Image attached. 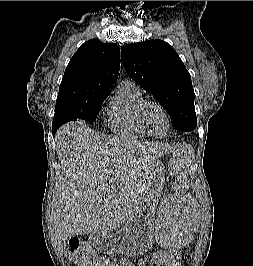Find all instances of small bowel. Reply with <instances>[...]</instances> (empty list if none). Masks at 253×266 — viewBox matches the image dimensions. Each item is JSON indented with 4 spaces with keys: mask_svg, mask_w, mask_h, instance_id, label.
<instances>
[{
    "mask_svg": "<svg viewBox=\"0 0 253 266\" xmlns=\"http://www.w3.org/2000/svg\"><path fill=\"white\" fill-rule=\"evenodd\" d=\"M145 262H146V260L144 259V260L141 261V264L145 263ZM121 266H134V265L129 260L122 259Z\"/></svg>",
    "mask_w": 253,
    "mask_h": 266,
    "instance_id": "c3829d8e",
    "label": "small bowel"
}]
</instances>
